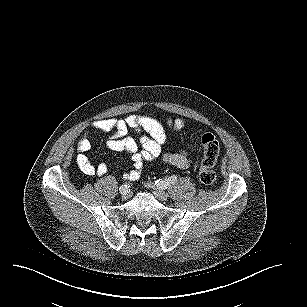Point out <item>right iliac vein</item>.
Instances as JSON below:
<instances>
[{
    "mask_svg": "<svg viewBox=\"0 0 307 307\" xmlns=\"http://www.w3.org/2000/svg\"><path fill=\"white\" fill-rule=\"evenodd\" d=\"M120 193H121V197L123 199H127L130 197V193L128 191V188L127 187H124V190L122 188L119 189Z\"/></svg>",
    "mask_w": 307,
    "mask_h": 307,
    "instance_id": "1",
    "label": "right iliac vein"
}]
</instances>
